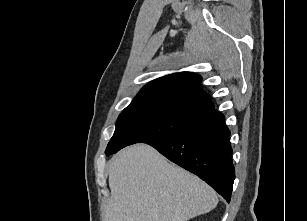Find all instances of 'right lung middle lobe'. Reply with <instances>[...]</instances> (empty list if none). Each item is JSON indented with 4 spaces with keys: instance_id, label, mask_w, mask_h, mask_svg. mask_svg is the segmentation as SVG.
<instances>
[{
    "instance_id": "right-lung-middle-lobe-1",
    "label": "right lung middle lobe",
    "mask_w": 307,
    "mask_h": 221,
    "mask_svg": "<svg viewBox=\"0 0 307 221\" xmlns=\"http://www.w3.org/2000/svg\"><path fill=\"white\" fill-rule=\"evenodd\" d=\"M211 110L183 102L136 101L119 115L106 155L125 146L149 143L174 135L193 125Z\"/></svg>"
}]
</instances>
